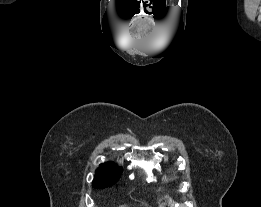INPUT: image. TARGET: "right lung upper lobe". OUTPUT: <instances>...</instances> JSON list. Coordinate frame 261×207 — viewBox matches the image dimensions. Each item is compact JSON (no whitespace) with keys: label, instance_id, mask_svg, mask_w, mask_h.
Instances as JSON below:
<instances>
[{"label":"right lung upper lobe","instance_id":"right-lung-upper-lobe-1","mask_svg":"<svg viewBox=\"0 0 261 207\" xmlns=\"http://www.w3.org/2000/svg\"><path fill=\"white\" fill-rule=\"evenodd\" d=\"M115 166H116V164H114V163H106V164H101L98 169L112 168V167H115Z\"/></svg>","mask_w":261,"mask_h":207}]
</instances>
